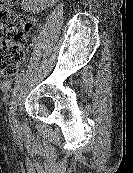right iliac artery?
<instances>
[{
	"label": "right iliac artery",
	"instance_id": "1",
	"mask_svg": "<svg viewBox=\"0 0 133 173\" xmlns=\"http://www.w3.org/2000/svg\"><path fill=\"white\" fill-rule=\"evenodd\" d=\"M24 76L25 75L23 73H21L17 76L16 81H15V86H14L13 92H12L13 98H14L16 92L18 91V89L20 88V85H21L22 81L24 80ZM11 105H12V101H11ZM11 108H12V106L10 107V109Z\"/></svg>",
	"mask_w": 133,
	"mask_h": 173
}]
</instances>
